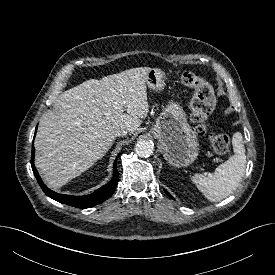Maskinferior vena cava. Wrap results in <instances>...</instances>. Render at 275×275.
Segmentation results:
<instances>
[{
	"mask_svg": "<svg viewBox=\"0 0 275 275\" xmlns=\"http://www.w3.org/2000/svg\"><path fill=\"white\" fill-rule=\"evenodd\" d=\"M128 131L124 128L119 129L116 131L115 136H125L127 135Z\"/></svg>",
	"mask_w": 275,
	"mask_h": 275,
	"instance_id": "obj_1",
	"label": "inferior vena cava"
}]
</instances>
